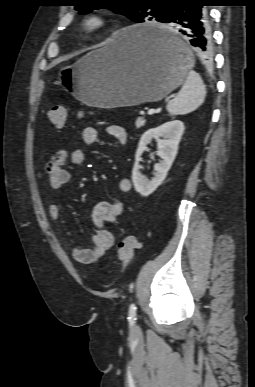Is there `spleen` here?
Listing matches in <instances>:
<instances>
[{"label": "spleen", "instance_id": "3e777b00", "mask_svg": "<svg viewBox=\"0 0 255 387\" xmlns=\"http://www.w3.org/2000/svg\"><path fill=\"white\" fill-rule=\"evenodd\" d=\"M206 97V87L193 70L188 71L187 78L177 96L167 103V111L171 115H185L196 110L203 104Z\"/></svg>", "mask_w": 255, "mask_h": 387}]
</instances>
